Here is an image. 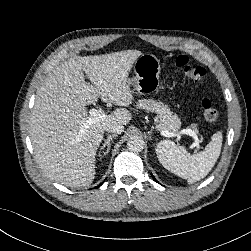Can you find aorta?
I'll return each mask as SVG.
<instances>
[{
	"mask_svg": "<svg viewBox=\"0 0 251 251\" xmlns=\"http://www.w3.org/2000/svg\"><path fill=\"white\" fill-rule=\"evenodd\" d=\"M145 142L142 137L134 135L128 139L127 146L130 151L141 152L144 149Z\"/></svg>",
	"mask_w": 251,
	"mask_h": 251,
	"instance_id": "aorta-1",
	"label": "aorta"
}]
</instances>
